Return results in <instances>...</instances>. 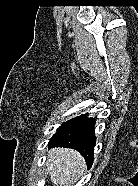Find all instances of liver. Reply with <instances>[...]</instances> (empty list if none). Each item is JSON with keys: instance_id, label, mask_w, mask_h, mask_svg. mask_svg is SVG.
I'll return each mask as SVG.
<instances>
[{"instance_id": "6515ba94", "label": "liver", "mask_w": 138, "mask_h": 186, "mask_svg": "<svg viewBox=\"0 0 138 186\" xmlns=\"http://www.w3.org/2000/svg\"><path fill=\"white\" fill-rule=\"evenodd\" d=\"M47 169L54 186H69L85 169L83 157L73 149L54 148L48 152Z\"/></svg>"}]
</instances>
